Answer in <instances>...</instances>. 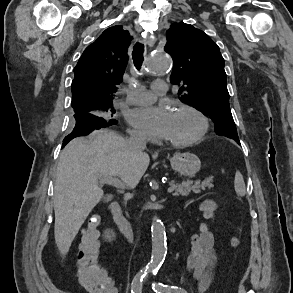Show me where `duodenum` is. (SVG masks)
<instances>
[{
    "mask_svg": "<svg viewBox=\"0 0 293 293\" xmlns=\"http://www.w3.org/2000/svg\"><path fill=\"white\" fill-rule=\"evenodd\" d=\"M109 211L123 237L129 242L132 241L134 236L133 227L131 226L127 218L123 215V212L118 202H111L109 205Z\"/></svg>",
    "mask_w": 293,
    "mask_h": 293,
    "instance_id": "obj_1",
    "label": "duodenum"
}]
</instances>
